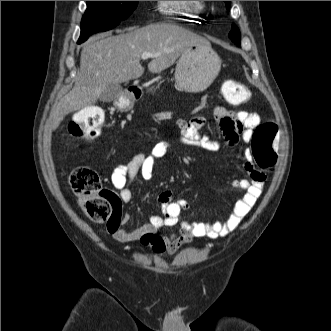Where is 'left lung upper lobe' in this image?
<instances>
[{
    "instance_id": "5c2ea615",
    "label": "left lung upper lobe",
    "mask_w": 331,
    "mask_h": 331,
    "mask_svg": "<svg viewBox=\"0 0 331 331\" xmlns=\"http://www.w3.org/2000/svg\"><path fill=\"white\" fill-rule=\"evenodd\" d=\"M226 7L229 8L230 1H225ZM229 38L237 45H240V31L235 24H232V30L229 33Z\"/></svg>"
}]
</instances>
